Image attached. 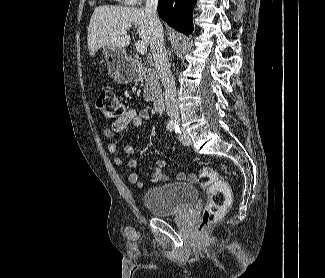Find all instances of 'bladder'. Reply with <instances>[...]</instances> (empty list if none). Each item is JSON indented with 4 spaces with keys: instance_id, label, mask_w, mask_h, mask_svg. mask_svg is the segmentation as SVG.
<instances>
[{
    "instance_id": "31cf9c89",
    "label": "bladder",
    "mask_w": 325,
    "mask_h": 278,
    "mask_svg": "<svg viewBox=\"0 0 325 278\" xmlns=\"http://www.w3.org/2000/svg\"><path fill=\"white\" fill-rule=\"evenodd\" d=\"M197 195L193 184L174 182L147 189L142 201L151 215L162 217L183 212L195 203Z\"/></svg>"
}]
</instances>
